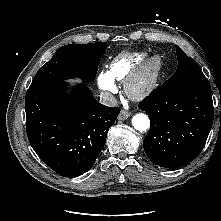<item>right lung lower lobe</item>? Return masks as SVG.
Here are the masks:
<instances>
[{
	"mask_svg": "<svg viewBox=\"0 0 221 221\" xmlns=\"http://www.w3.org/2000/svg\"><path fill=\"white\" fill-rule=\"evenodd\" d=\"M66 82L29 89L25 98L26 130L37 155L61 176L91 169L120 112L94 99L85 85L65 94Z\"/></svg>",
	"mask_w": 221,
	"mask_h": 221,
	"instance_id": "right-lung-lower-lobe-1",
	"label": "right lung lower lobe"
}]
</instances>
